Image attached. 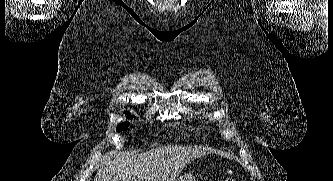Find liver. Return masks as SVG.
Returning a JSON list of instances; mask_svg holds the SVG:
<instances>
[{"mask_svg":"<svg viewBox=\"0 0 333 181\" xmlns=\"http://www.w3.org/2000/svg\"><path fill=\"white\" fill-rule=\"evenodd\" d=\"M205 154L200 147L171 145L140 154L110 153L94 181H175L191 161Z\"/></svg>","mask_w":333,"mask_h":181,"instance_id":"6515ba94","label":"liver"}]
</instances>
